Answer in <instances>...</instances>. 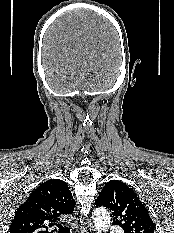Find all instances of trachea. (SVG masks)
<instances>
[{
    "instance_id": "obj_1",
    "label": "trachea",
    "mask_w": 174,
    "mask_h": 233,
    "mask_svg": "<svg viewBox=\"0 0 174 233\" xmlns=\"http://www.w3.org/2000/svg\"><path fill=\"white\" fill-rule=\"evenodd\" d=\"M55 225L59 229L58 233H70V228L63 226L62 224H58V223H55Z\"/></svg>"
}]
</instances>
